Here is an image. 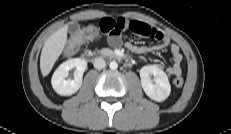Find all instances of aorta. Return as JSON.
Returning a JSON list of instances; mask_svg holds the SVG:
<instances>
[{
	"instance_id": "1",
	"label": "aorta",
	"mask_w": 231,
	"mask_h": 134,
	"mask_svg": "<svg viewBox=\"0 0 231 134\" xmlns=\"http://www.w3.org/2000/svg\"><path fill=\"white\" fill-rule=\"evenodd\" d=\"M109 67L111 70H116L118 68V64L116 61H111Z\"/></svg>"
}]
</instances>
